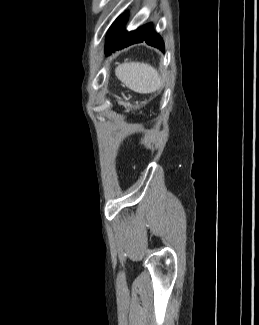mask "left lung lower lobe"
<instances>
[{
	"label": "left lung lower lobe",
	"mask_w": 259,
	"mask_h": 325,
	"mask_svg": "<svg viewBox=\"0 0 259 325\" xmlns=\"http://www.w3.org/2000/svg\"><path fill=\"white\" fill-rule=\"evenodd\" d=\"M127 21V16L119 17L110 27L107 37L105 54L122 49L135 43L146 42L148 45L164 51L162 38L152 30V24H146L135 31L127 32L123 26Z\"/></svg>",
	"instance_id": "0a47b994"
}]
</instances>
